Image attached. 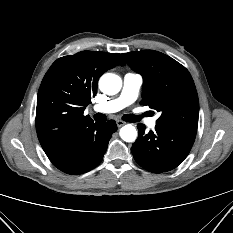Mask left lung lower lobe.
I'll return each mask as SVG.
<instances>
[{
	"label": "left lung lower lobe",
	"mask_w": 233,
	"mask_h": 233,
	"mask_svg": "<svg viewBox=\"0 0 233 233\" xmlns=\"http://www.w3.org/2000/svg\"><path fill=\"white\" fill-rule=\"evenodd\" d=\"M139 136L131 151L136 162L153 173L176 168L188 155L196 137V130L156 125L145 133L143 124L137 125Z\"/></svg>",
	"instance_id": "1"
}]
</instances>
